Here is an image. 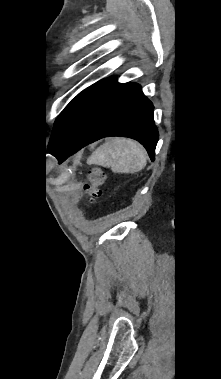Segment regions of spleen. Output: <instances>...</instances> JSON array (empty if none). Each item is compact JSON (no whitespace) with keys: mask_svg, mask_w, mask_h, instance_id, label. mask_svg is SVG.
I'll return each instance as SVG.
<instances>
[{"mask_svg":"<svg viewBox=\"0 0 221 379\" xmlns=\"http://www.w3.org/2000/svg\"><path fill=\"white\" fill-rule=\"evenodd\" d=\"M87 162L111 168L114 173L133 174L145 167L147 152L134 140L113 138L98 147Z\"/></svg>","mask_w":221,"mask_h":379,"instance_id":"spleen-1","label":"spleen"}]
</instances>
